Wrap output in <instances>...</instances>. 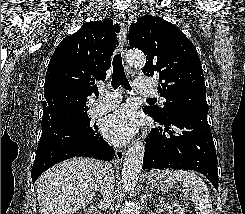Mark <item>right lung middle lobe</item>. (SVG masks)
I'll return each mask as SVG.
<instances>
[{
  "label": "right lung middle lobe",
  "instance_id": "dd1d6c3e",
  "mask_svg": "<svg viewBox=\"0 0 245 214\" xmlns=\"http://www.w3.org/2000/svg\"><path fill=\"white\" fill-rule=\"evenodd\" d=\"M90 118L87 116V111H84L80 115L76 116L74 119L64 123L59 128H52L51 133L42 132V136L54 137L55 134L60 132H80L85 136L88 134L90 127Z\"/></svg>",
  "mask_w": 245,
  "mask_h": 214
}]
</instances>
